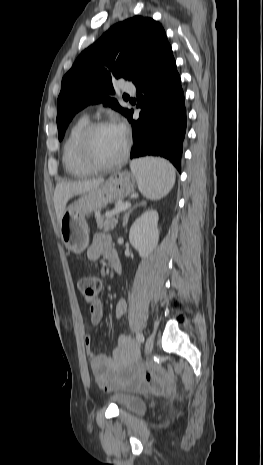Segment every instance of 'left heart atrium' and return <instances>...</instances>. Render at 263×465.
<instances>
[{"label": "left heart atrium", "instance_id": "1", "mask_svg": "<svg viewBox=\"0 0 263 465\" xmlns=\"http://www.w3.org/2000/svg\"><path fill=\"white\" fill-rule=\"evenodd\" d=\"M117 130L122 134V136L125 138L126 137V127L124 124L120 123L115 126Z\"/></svg>", "mask_w": 263, "mask_h": 465}]
</instances>
